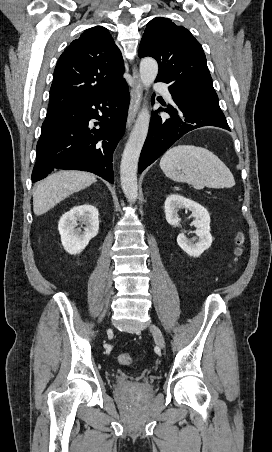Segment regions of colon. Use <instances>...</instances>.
<instances>
[{
	"label": "colon",
	"mask_w": 272,
	"mask_h": 452,
	"mask_svg": "<svg viewBox=\"0 0 272 452\" xmlns=\"http://www.w3.org/2000/svg\"><path fill=\"white\" fill-rule=\"evenodd\" d=\"M243 253V237L238 236L237 238V248L235 250L236 256H241ZM118 361L121 365H131L133 363V357L131 354L123 353L118 356Z\"/></svg>",
	"instance_id": "obj_1"
}]
</instances>
